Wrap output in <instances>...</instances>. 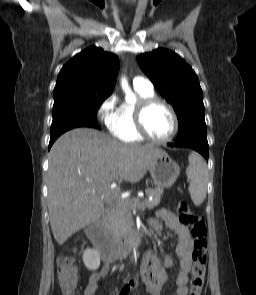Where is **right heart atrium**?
Instances as JSON below:
<instances>
[{"instance_id":"obj_1","label":"right heart atrium","mask_w":256,"mask_h":295,"mask_svg":"<svg viewBox=\"0 0 256 295\" xmlns=\"http://www.w3.org/2000/svg\"><path fill=\"white\" fill-rule=\"evenodd\" d=\"M118 110V96L117 94L113 93L100 104L98 115L104 121V123L110 127V124L117 116Z\"/></svg>"}]
</instances>
